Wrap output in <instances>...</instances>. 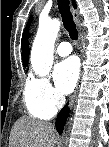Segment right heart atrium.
I'll list each match as a JSON object with an SVG mask.
<instances>
[{"mask_svg": "<svg viewBox=\"0 0 109 147\" xmlns=\"http://www.w3.org/2000/svg\"><path fill=\"white\" fill-rule=\"evenodd\" d=\"M26 96L33 103L51 114L57 112L63 100L49 80L43 77H37L28 84Z\"/></svg>", "mask_w": 109, "mask_h": 147, "instance_id": "1", "label": "right heart atrium"}]
</instances>
